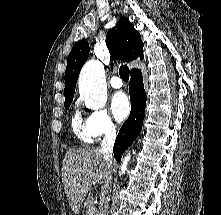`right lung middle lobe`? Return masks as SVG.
<instances>
[{
    "label": "right lung middle lobe",
    "instance_id": "right-lung-middle-lobe-1",
    "mask_svg": "<svg viewBox=\"0 0 221 215\" xmlns=\"http://www.w3.org/2000/svg\"><path fill=\"white\" fill-rule=\"evenodd\" d=\"M71 102H72V100L65 101L64 106L66 109H69Z\"/></svg>",
    "mask_w": 221,
    "mask_h": 215
}]
</instances>
